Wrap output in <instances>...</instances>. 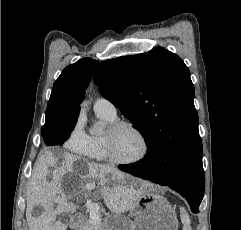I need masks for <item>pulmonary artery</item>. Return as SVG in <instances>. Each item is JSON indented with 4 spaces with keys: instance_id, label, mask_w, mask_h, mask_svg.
I'll return each instance as SVG.
<instances>
[{
    "instance_id": "e3ab8cb5",
    "label": "pulmonary artery",
    "mask_w": 241,
    "mask_h": 230,
    "mask_svg": "<svg viewBox=\"0 0 241 230\" xmlns=\"http://www.w3.org/2000/svg\"><path fill=\"white\" fill-rule=\"evenodd\" d=\"M94 110L97 114H104L112 118L117 116L115 105L106 98H98L94 103Z\"/></svg>"
}]
</instances>
